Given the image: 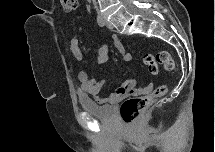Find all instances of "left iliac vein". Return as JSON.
I'll return each mask as SVG.
<instances>
[{"instance_id": "4c4485c4", "label": "left iliac vein", "mask_w": 215, "mask_h": 152, "mask_svg": "<svg viewBox=\"0 0 215 152\" xmlns=\"http://www.w3.org/2000/svg\"><path fill=\"white\" fill-rule=\"evenodd\" d=\"M100 16L104 20V22H105V24H106V26L108 28H112L113 27L112 24L109 21L106 20V18H105V16L103 14H100Z\"/></svg>"}]
</instances>
